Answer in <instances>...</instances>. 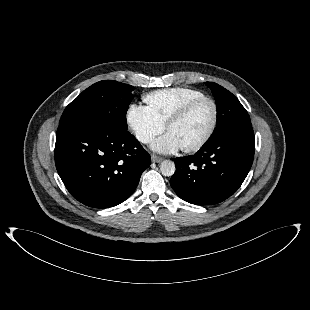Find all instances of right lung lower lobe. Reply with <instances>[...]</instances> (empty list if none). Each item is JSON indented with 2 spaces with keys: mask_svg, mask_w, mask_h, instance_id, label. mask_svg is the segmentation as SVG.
<instances>
[{
  "mask_svg": "<svg viewBox=\"0 0 310 310\" xmlns=\"http://www.w3.org/2000/svg\"><path fill=\"white\" fill-rule=\"evenodd\" d=\"M55 163L76 200L93 208H109L134 192L151 158L128 131L117 133L75 122L58 127Z\"/></svg>",
  "mask_w": 310,
  "mask_h": 310,
  "instance_id": "98d812e1",
  "label": "right lung lower lobe"
}]
</instances>
